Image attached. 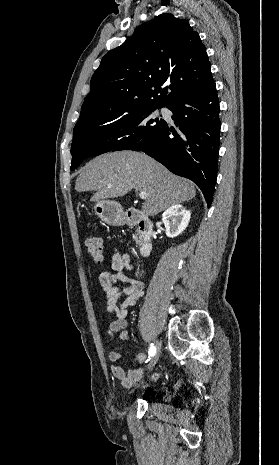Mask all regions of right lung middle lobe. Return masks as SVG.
Here are the masks:
<instances>
[{
    "label": "right lung middle lobe",
    "instance_id": "obj_1",
    "mask_svg": "<svg viewBox=\"0 0 279 465\" xmlns=\"http://www.w3.org/2000/svg\"><path fill=\"white\" fill-rule=\"evenodd\" d=\"M155 109H139L102 125L75 126L71 169H76L90 156L151 143L166 125L165 120L151 116Z\"/></svg>",
    "mask_w": 279,
    "mask_h": 465
}]
</instances>
